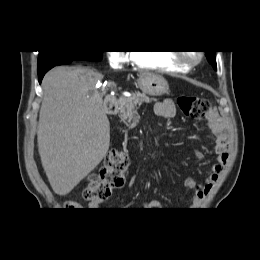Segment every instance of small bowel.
Segmentation results:
<instances>
[{
    "mask_svg": "<svg viewBox=\"0 0 260 260\" xmlns=\"http://www.w3.org/2000/svg\"><path fill=\"white\" fill-rule=\"evenodd\" d=\"M154 112L157 116L163 118L173 117L176 113V107L171 99H163L154 105ZM207 121L212 134L215 136V154L216 162L212 165L208 176L202 183H198L192 178H186L184 180V186L192 192V200L190 206L192 208H198L208 193L210 192L213 185L218 180L226 162L229 153V141L228 132L225 122L218 116H206ZM195 155L201 159L203 154L200 151H196ZM136 176L131 177L128 185L131 187L134 185ZM103 200L95 199L89 202L90 210H99L102 206ZM143 207L148 210L158 209L161 204L157 200L143 202Z\"/></svg>",
    "mask_w": 260,
    "mask_h": 260,
    "instance_id": "1",
    "label": "small bowel"
}]
</instances>
